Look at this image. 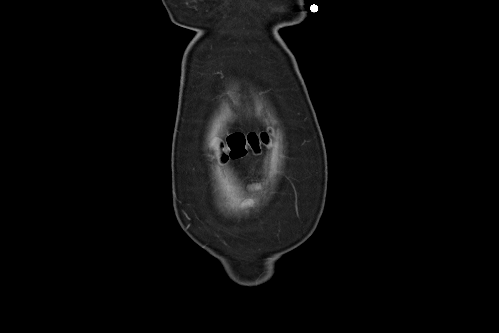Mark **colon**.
Here are the masks:
<instances>
[{"instance_id": "obj_1", "label": "colon", "mask_w": 499, "mask_h": 333, "mask_svg": "<svg viewBox=\"0 0 499 333\" xmlns=\"http://www.w3.org/2000/svg\"><path fill=\"white\" fill-rule=\"evenodd\" d=\"M268 141V134H235L227 140V155L232 158L244 156L248 150L257 152Z\"/></svg>"}]
</instances>
